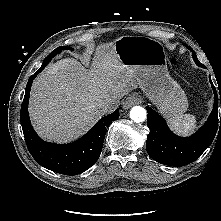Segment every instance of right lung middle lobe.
I'll return each mask as SVG.
<instances>
[{"mask_svg": "<svg viewBox=\"0 0 221 221\" xmlns=\"http://www.w3.org/2000/svg\"><path fill=\"white\" fill-rule=\"evenodd\" d=\"M62 50H72L71 47H66V46H61L56 48L54 51H52L46 58V59H52L55 55H57L58 53H60Z\"/></svg>", "mask_w": 221, "mask_h": 221, "instance_id": "1", "label": "right lung middle lobe"}]
</instances>
